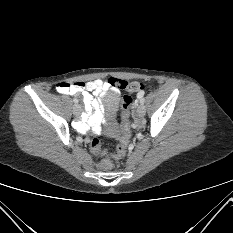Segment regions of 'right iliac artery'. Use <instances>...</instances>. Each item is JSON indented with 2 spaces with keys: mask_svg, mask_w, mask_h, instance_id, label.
Listing matches in <instances>:
<instances>
[{
  "mask_svg": "<svg viewBox=\"0 0 233 233\" xmlns=\"http://www.w3.org/2000/svg\"><path fill=\"white\" fill-rule=\"evenodd\" d=\"M73 102H74L75 104H77V103H78V100H77L76 98H74V99H73Z\"/></svg>",
  "mask_w": 233,
  "mask_h": 233,
  "instance_id": "obj_1",
  "label": "right iliac artery"
}]
</instances>
